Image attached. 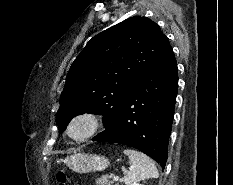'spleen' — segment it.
I'll return each mask as SVG.
<instances>
[{"instance_id": "3e777b00", "label": "spleen", "mask_w": 233, "mask_h": 185, "mask_svg": "<svg viewBox=\"0 0 233 185\" xmlns=\"http://www.w3.org/2000/svg\"><path fill=\"white\" fill-rule=\"evenodd\" d=\"M124 154L130 161V170L124 176L126 185H134L147 178H158L159 173L155 163L147 155L132 149H125Z\"/></svg>"}]
</instances>
